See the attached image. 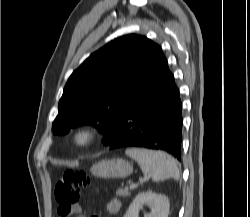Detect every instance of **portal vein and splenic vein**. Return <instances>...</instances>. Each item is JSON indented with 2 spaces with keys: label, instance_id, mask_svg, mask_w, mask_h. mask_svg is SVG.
I'll list each match as a JSON object with an SVG mask.
<instances>
[{
  "label": "portal vein and splenic vein",
  "instance_id": "1",
  "mask_svg": "<svg viewBox=\"0 0 250 217\" xmlns=\"http://www.w3.org/2000/svg\"><path fill=\"white\" fill-rule=\"evenodd\" d=\"M141 182H143V180H141ZM137 186H138V184L132 183V184L129 185V187L127 186L126 189H128V188L134 189V188H136Z\"/></svg>",
  "mask_w": 250,
  "mask_h": 217
}]
</instances>
